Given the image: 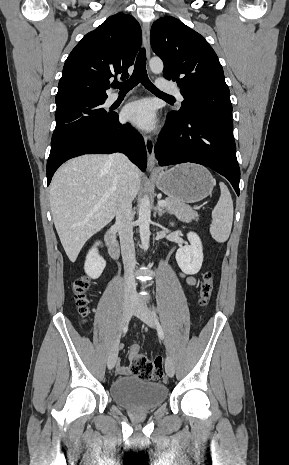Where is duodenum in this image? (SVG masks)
Listing matches in <instances>:
<instances>
[{"mask_svg":"<svg viewBox=\"0 0 289 465\" xmlns=\"http://www.w3.org/2000/svg\"><path fill=\"white\" fill-rule=\"evenodd\" d=\"M105 242L108 251L113 259H118L120 255V248L115 233L112 230H107L105 234Z\"/></svg>","mask_w":289,"mask_h":465,"instance_id":"1","label":"duodenum"}]
</instances>
